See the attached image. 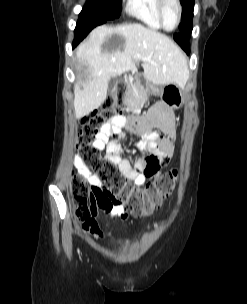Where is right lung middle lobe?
<instances>
[{
	"label": "right lung middle lobe",
	"instance_id": "1",
	"mask_svg": "<svg viewBox=\"0 0 247 304\" xmlns=\"http://www.w3.org/2000/svg\"><path fill=\"white\" fill-rule=\"evenodd\" d=\"M122 0H87L83 7L79 18L81 19H93L98 20H113L120 16ZM90 30L84 29L81 32H86L84 36L89 33Z\"/></svg>",
	"mask_w": 247,
	"mask_h": 304
}]
</instances>
